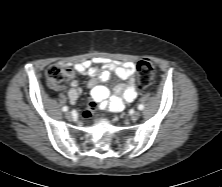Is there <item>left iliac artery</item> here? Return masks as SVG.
Segmentation results:
<instances>
[{
    "instance_id": "1",
    "label": "left iliac artery",
    "mask_w": 222,
    "mask_h": 187,
    "mask_svg": "<svg viewBox=\"0 0 222 187\" xmlns=\"http://www.w3.org/2000/svg\"><path fill=\"white\" fill-rule=\"evenodd\" d=\"M138 109L139 110H143L144 109V105L143 104H139Z\"/></svg>"
}]
</instances>
